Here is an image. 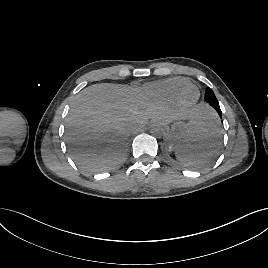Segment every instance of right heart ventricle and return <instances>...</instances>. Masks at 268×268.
I'll list each match as a JSON object with an SVG mask.
<instances>
[{
    "mask_svg": "<svg viewBox=\"0 0 268 268\" xmlns=\"http://www.w3.org/2000/svg\"><path fill=\"white\" fill-rule=\"evenodd\" d=\"M191 86L190 81L182 77L168 78L156 82L148 87V91L156 96L173 100L187 87Z\"/></svg>",
    "mask_w": 268,
    "mask_h": 268,
    "instance_id": "e07e8e85",
    "label": "right heart ventricle"
}]
</instances>
